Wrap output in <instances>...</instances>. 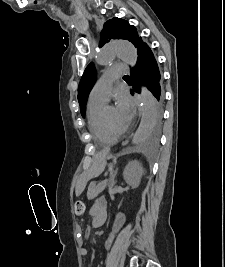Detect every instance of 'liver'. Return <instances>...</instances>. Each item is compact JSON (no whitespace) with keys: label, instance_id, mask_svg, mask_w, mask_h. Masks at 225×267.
I'll return each instance as SVG.
<instances>
[{"label":"liver","instance_id":"6515ba94","mask_svg":"<svg viewBox=\"0 0 225 267\" xmlns=\"http://www.w3.org/2000/svg\"><path fill=\"white\" fill-rule=\"evenodd\" d=\"M106 155L107 152H101L95 156L94 163L89 171L90 177L98 176L103 172L106 165L105 161ZM77 194H79V192H77Z\"/></svg>","mask_w":225,"mask_h":267}]
</instances>
